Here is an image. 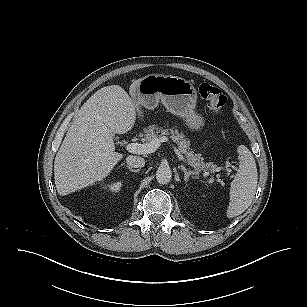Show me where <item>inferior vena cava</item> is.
Here are the masks:
<instances>
[{"label":"inferior vena cava","mask_w":307,"mask_h":307,"mask_svg":"<svg viewBox=\"0 0 307 307\" xmlns=\"http://www.w3.org/2000/svg\"><path fill=\"white\" fill-rule=\"evenodd\" d=\"M126 162L130 167L142 168L145 165V160L139 156L130 155L126 158Z\"/></svg>","instance_id":"obj_1"}]
</instances>
